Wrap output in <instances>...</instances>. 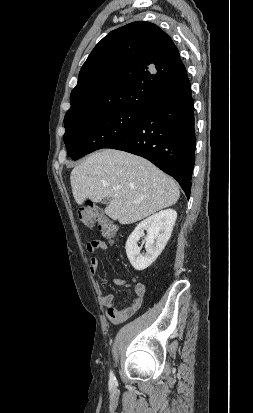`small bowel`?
Wrapping results in <instances>:
<instances>
[{"instance_id": "1", "label": "small bowel", "mask_w": 253, "mask_h": 413, "mask_svg": "<svg viewBox=\"0 0 253 413\" xmlns=\"http://www.w3.org/2000/svg\"><path fill=\"white\" fill-rule=\"evenodd\" d=\"M97 250L106 251L108 250V245L104 241L96 240L91 241L87 245V251L90 254L95 253ZM98 259L94 256L90 258L89 265L90 270L93 274L97 273L98 270ZM114 284L125 287L132 288L133 295L127 306L119 308L114 303V296L111 293L101 292L99 295V300L103 306L107 308V317L113 323H120L131 317L136 313L142 305L146 287L143 283H136L132 286L127 280L115 278Z\"/></svg>"}]
</instances>
